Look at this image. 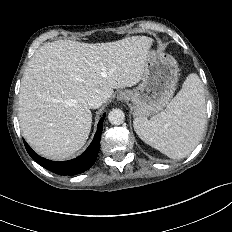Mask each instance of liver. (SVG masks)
<instances>
[{
  "instance_id": "liver-1",
  "label": "liver",
  "mask_w": 232,
  "mask_h": 232,
  "mask_svg": "<svg viewBox=\"0 0 232 232\" xmlns=\"http://www.w3.org/2000/svg\"><path fill=\"white\" fill-rule=\"evenodd\" d=\"M152 39L132 36L107 43L57 40L41 46L28 62L19 94L22 134L40 155L63 160L88 139L92 113L87 100L107 102L113 89L136 85Z\"/></svg>"
}]
</instances>
